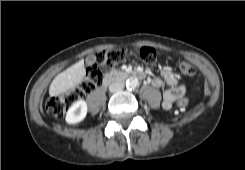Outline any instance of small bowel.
Here are the masks:
<instances>
[{
    "instance_id": "c3829d8e",
    "label": "small bowel",
    "mask_w": 245,
    "mask_h": 170,
    "mask_svg": "<svg viewBox=\"0 0 245 170\" xmlns=\"http://www.w3.org/2000/svg\"><path fill=\"white\" fill-rule=\"evenodd\" d=\"M163 75L168 88L163 93L162 106L165 110H169L174 102L184 97L186 86L183 83H178L174 75L168 70H164ZM164 81L156 77L151 80V84L156 88H160L163 86Z\"/></svg>"
}]
</instances>
